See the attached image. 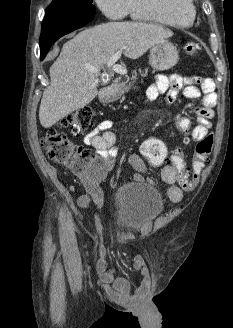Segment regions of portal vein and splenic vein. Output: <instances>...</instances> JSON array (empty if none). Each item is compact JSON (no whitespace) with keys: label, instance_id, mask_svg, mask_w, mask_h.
<instances>
[{"label":"portal vein and splenic vein","instance_id":"portal-vein-and-splenic-vein-1","mask_svg":"<svg viewBox=\"0 0 233 328\" xmlns=\"http://www.w3.org/2000/svg\"><path fill=\"white\" fill-rule=\"evenodd\" d=\"M124 49H125V47H121L107 62L108 68H111L112 71H114L115 73L121 74V75L126 74L127 70L123 66L116 64V62L120 58L122 51ZM87 68L91 72H94V73L98 72L97 68L90 67V66H88Z\"/></svg>","mask_w":233,"mask_h":328}]
</instances>
